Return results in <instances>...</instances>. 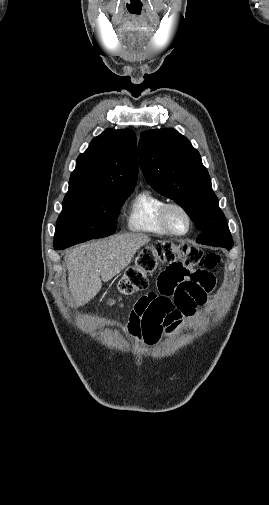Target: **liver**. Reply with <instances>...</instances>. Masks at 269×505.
Segmentation results:
<instances>
[{
  "label": "liver",
  "mask_w": 269,
  "mask_h": 505,
  "mask_svg": "<svg viewBox=\"0 0 269 505\" xmlns=\"http://www.w3.org/2000/svg\"><path fill=\"white\" fill-rule=\"evenodd\" d=\"M149 241L147 235L127 233L70 250L65 262L76 305L82 306L93 299L102 288V280L107 282L118 275Z\"/></svg>",
  "instance_id": "liver-1"
}]
</instances>
